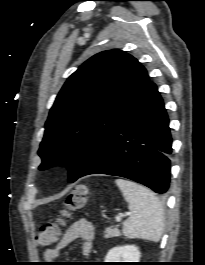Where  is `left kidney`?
Masks as SVG:
<instances>
[{
	"label": "left kidney",
	"instance_id": "1",
	"mask_svg": "<svg viewBox=\"0 0 205 265\" xmlns=\"http://www.w3.org/2000/svg\"><path fill=\"white\" fill-rule=\"evenodd\" d=\"M141 253L135 245L117 246L109 250L105 262H139Z\"/></svg>",
	"mask_w": 205,
	"mask_h": 265
}]
</instances>
